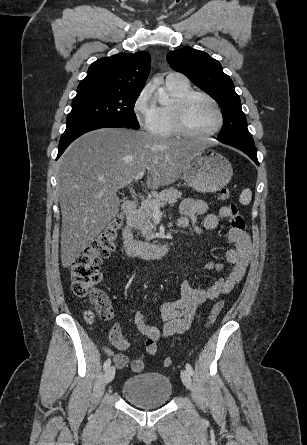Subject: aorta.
Here are the masks:
<instances>
[{
    "instance_id": "aorta-1",
    "label": "aorta",
    "mask_w": 307,
    "mask_h": 445,
    "mask_svg": "<svg viewBox=\"0 0 307 445\" xmlns=\"http://www.w3.org/2000/svg\"><path fill=\"white\" fill-rule=\"evenodd\" d=\"M156 94H157L158 102H160V104H169L170 98H169L167 92H165L164 88H157Z\"/></svg>"
}]
</instances>
